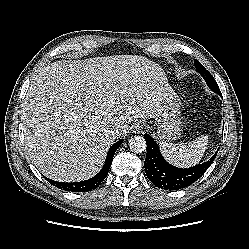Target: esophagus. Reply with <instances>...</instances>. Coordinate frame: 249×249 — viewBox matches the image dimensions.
Instances as JSON below:
<instances>
[{
  "instance_id": "esophagus-1",
  "label": "esophagus",
  "mask_w": 249,
  "mask_h": 249,
  "mask_svg": "<svg viewBox=\"0 0 249 249\" xmlns=\"http://www.w3.org/2000/svg\"><path fill=\"white\" fill-rule=\"evenodd\" d=\"M144 128H145V124L143 122L139 121V122L134 124L133 131L135 133H141Z\"/></svg>"
}]
</instances>
